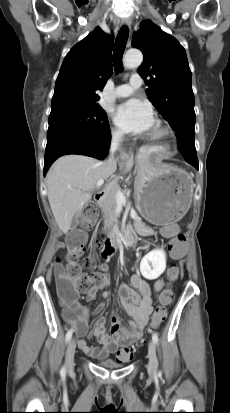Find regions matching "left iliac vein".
<instances>
[{
	"instance_id": "4c4485c4",
	"label": "left iliac vein",
	"mask_w": 230,
	"mask_h": 413,
	"mask_svg": "<svg viewBox=\"0 0 230 413\" xmlns=\"http://www.w3.org/2000/svg\"><path fill=\"white\" fill-rule=\"evenodd\" d=\"M148 357H149V362H148L147 370L150 375H154L158 367V360H157V355H156V347L153 341H150L148 345Z\"/></svg>"
}]
</instances>
